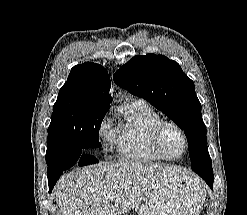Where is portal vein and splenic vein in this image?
<instances>
[{
	"mask_svg": "<svg viewBox=\"0 0 247 215\" xmlns=\"http://www.w3.org/2000/svg\"><path fill=\"white\" fill-rule=\"evenodd\" d=\"M109 199L112 201L115 199V196L112 194V195H109Z\"/></svg>",
	"mask_w": 247,
	"mask_h": 215,
	"instance_id": "18ae733b",
	"label": "portal vein and splenic vein"
}]
</instances>
